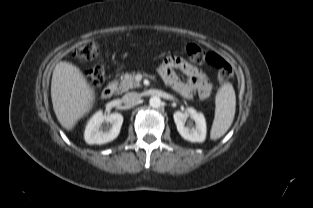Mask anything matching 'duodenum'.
Returning <instances> with one entry per match:
<instances>
[{"mask_svg":"<svg viewBox=\"0 0 313 208\" xmlns=\"http://www.w3.org/2000/svg\"><path fill=\"white\" fill-rule=\"evenodd\" d=\"M116 90V84L115 83H111L107 86H105L102 90L101 96L104 99H109L112 97V95L114 94Z\"/></svg>","mask_w":313,"mask_h":208,"instance_id":"1","label":"duodenum"}]
</instances>
